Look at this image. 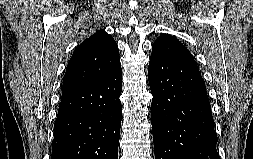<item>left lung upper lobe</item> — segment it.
Instances as JSON below:
<instances>
[{
  "instance_id": "5c2ea615",
  "label": "left lung upper lobe",
  "mask_w": 253,
  "mask_h": 159,
  "mask_svg": "<svg viewBox=\"0 0 253 159\" xmlns=\"http://www.w3.org/2000/svg\"><path fill=\"white\" fill-rule=\"evenodd\" d=\"M152 56L194 60L192 54L176 38L162 34L152 45Z\"/></svg>"
}]
</instances>
